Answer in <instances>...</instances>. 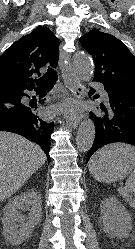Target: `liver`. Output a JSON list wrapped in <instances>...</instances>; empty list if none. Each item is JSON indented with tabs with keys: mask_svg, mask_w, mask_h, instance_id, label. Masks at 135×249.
I'll list each match as a JSON object with an SVG mask.
<instances>
[{
	"mask_svg": "<svg viewBox=\"0 0 135 249\" xmlns=\"http://www.w3.org/2000/svg\"><path fill=\"white\" fill-rule=\"evenodd\" d=\"M46 159L39 145L0 131V202L17 192Z\"/></svg>",
	"mask_w": 135,
	"mask_h": 249,
	"instance_id": "obj_1",
	"label": "liver"
}]
</instances>
